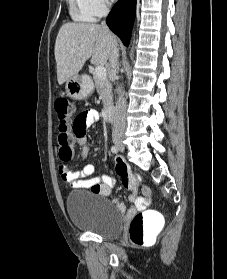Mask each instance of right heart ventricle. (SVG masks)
Wrapping results in <instances>:
<instances>
[{
  "label": "right heart ventricle",
  "mask_w": 227,
  "mask_h": 279,
  "mask_svg": "<svg viewBox=\"0 0 227 279\" xmlns=\"http://www.w3.org/2000/svg\"><path fill=\"white\" fill-rule=\"evenodd\" d=\"M70 3L71 17L76 21L89 22L94 19V15L86 5L85 0H68Z\"/></svg>",
  "instance_id": "obj_1"
}]
</instances>
